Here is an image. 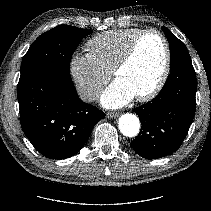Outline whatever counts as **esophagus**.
<instances>
[{"label": "esophagus", "instance_id": "34e87169", "mask_svg": "<svg viewBox=\"0 0 211 211\" xmlns=\"http://www.w3.org/2000/svg\"><path fill=\"white\" fill-rule=\"evenodd\" d=\"M119 116V113L118 112H108L107 113V117L108 118H116Z\"/></svg>", "mask_w": 211, "mask_h": 211}]
</instances>
